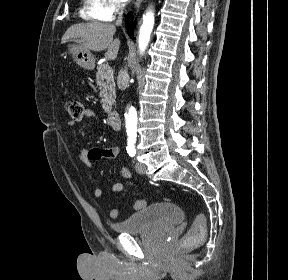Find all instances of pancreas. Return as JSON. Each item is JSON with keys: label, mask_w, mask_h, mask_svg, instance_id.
I'll return each mask as SVG.
<instances>
[{"label": "pancreas", "mask_w": 288, "mask_h": 280, "mask_svg": "<svg viewBox=\"0 0 288 280\" xmlns=\"http://www.w3.org/2000/svg\"><path fill=\"white\" fill-rule=\"evenodd\" d=\"M109 66L102 64L97 68L96 83L100 90L102 107L106 113H110L116 98L115 83L113 76H108Z\"/></svg>", "instance_id": "1"}]
</instances>
